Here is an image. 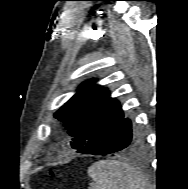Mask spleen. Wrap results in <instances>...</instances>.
Listing matches in <instances>:
<instances>
[{
    "instance_id": "spleen-1",
    "label": "spleen",
    "mask_w": 188,
    "mask_h": 189,
    "mask_svg": "<svg viewBox=\"0 0 188 189\" xmlns=\"http://www.w3.org/2000/svg\"><path fill=\"white\" fill-rule=\"evenodd\" d=\"M89 189H145L141 174L125 162L100 160L88 168Z\"/></svg>"
}]
</instances>
